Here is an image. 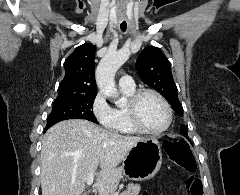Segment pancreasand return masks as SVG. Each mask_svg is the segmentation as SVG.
<instances>
[{
	"instance_id": "cf45deb5",
	"label": "pancreas",
	"mask_w": 240,
	"mask_h": 195,
	"mask_svg": "<svg viewBox=\"0 0 240 195\" xmlns=\"http://www.w3.org/2000/svg\"><path fill=\"white\" fill-rule=\"evenodd\" d=\"M140 189L139 183H127L125 191H122L119 195H138Z\"/></svg>"
}]
</instances>
